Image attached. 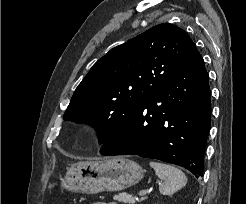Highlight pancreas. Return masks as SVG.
<instances>
[{
  "label": "pancreas",
  "mask_w": 246,
  "mask_h": 204,
  "mask_svg": "<svg viewBox=\"0 0 246 204\" xmlns=\"http://www.w3.org/2000/svg\"><path fill=\"white\" fill-rule=\"evenodd\" d=\"M113 199L122 203H129V204H135L136 202L135 198L127 193H120L118 195H114Z\"/></svg>",
  "instance_id": "cf45deb5"
}]
</instances>
